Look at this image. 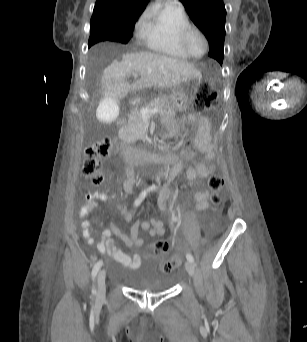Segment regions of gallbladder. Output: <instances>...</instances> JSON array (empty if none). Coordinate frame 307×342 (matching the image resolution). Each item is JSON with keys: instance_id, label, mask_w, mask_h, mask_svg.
Returning a JSON list of instances; mask_svg holds the SVG:
<instances>
[{"instance_id": "bac80fb5", "label": "gallbladder", "mask_w": 307, "mask_h": 342, "mask_svg": "<svg viewBox=\"0 0 307 342\" xmlns=\"http://www.w3.org/2000/svg\"><path fill=\"white\" fill-rule=\"evenodd\" d=\"M102 99L96 108V113L99 114V123H115L122 97L120 95H104Z\"/></svg>"}]
</instances>
